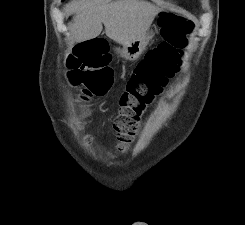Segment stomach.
I'll list each match as a JSON object with an SVG mask.
<instances>
[{"label": "stomach", "instance_id": "1", "mask_svg": "<svg viewBox=\"0 0 245 225\" xmlns=\"http://www.w3.org/2000/svg\"><path fill=\"white\" fill-rule=\"evenodd\" d=\"M154 34L155 33L153 30H147V32L141 38L127 41L125 44H123L122 49H117V52L124 59L135 61L142 55L147 45L154 37Z\"/></svg>", "mask_w": 245, "mask_h": 225}]
</instances>
